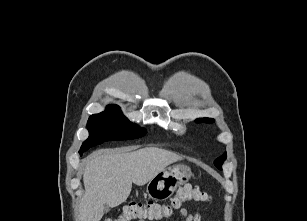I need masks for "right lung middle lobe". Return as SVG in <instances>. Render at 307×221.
<instances>
[{
    "label": "right lung middle lobe",
    "mask_w": 307,
    "mask_h": 221,
    "mask_svg": "<svg viewBox=\"0 0 307 221\" xmlns=\"http://www.w3.org/2000/svg\"><path fill=\"white\" fill-rule=\"evenodd\" d=\"M87 128L89 137L83 142L80 155L106 141L130 140L146 134V130L130 122L117 105H109L104 112L91 115Z\"/></svg>",
    "instance_id": "1"
}]
</instances>
